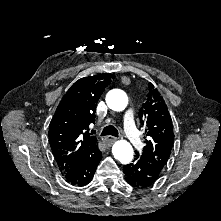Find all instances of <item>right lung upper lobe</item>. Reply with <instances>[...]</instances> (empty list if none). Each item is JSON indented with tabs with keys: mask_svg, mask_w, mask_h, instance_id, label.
I'll list each match as a JSON object with an SVG mask.
<instances>
[{
	"mask_svg": "<svg viewBox=\"0 0 221 221\" xmlns=\"http://www.w3.org/2000/svg\"><path fill=\"white\" fill-rule=\"evenodd\" d=\"M114 75L81 78L66 92L51 120L49 141L59 170L66 171L97 145L94 124L98 100Z\"/></svg>",
	"mask_w": 221,
	"mask_h": 221,
	"instance_id": "cb5924a9",
	"label": "right lung upper lobe"
}]
</instances>
